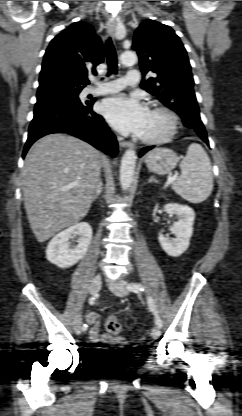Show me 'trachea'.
<instances>
[{"label": "trachea", "instance_id": "1", "mask_svg": "<svg viewBox=\"0 0 242 416\" xmlns=\"http://www.w3.org/2000/svg\"><path fill=\"white\" fill-rule=\"evenodd\" d=\"M106 58H107V65H108V75L116 74L118 71L117 65V54L115 51V47L112 43L111 38H108L106 41ZM89 84V81H87Z\"/></svg>", "mask_w": 242, "mask_h": 416}]
</instances>
